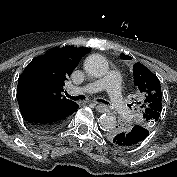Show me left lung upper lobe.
Segmentation results:
<instances>
[{
	"mask_svg": "<svg viewBox=\"0 0 177 177\" xmlns=\"http://www.w3.org/2000/svg\"><path fill=\"white\" fill-rule=\"evenodd\" d=\"M135 85L139 89V104L142 113L139 125L152 129L159 120L162 111V93L160 81L155 74L141 63L133 67Z\"/></svg>",
	"mask_w": 177,
	"mask_h": 177,
	"instance_id": "5c2ea615",
	"label": "left lung upper lobe"
}]
</instances>
